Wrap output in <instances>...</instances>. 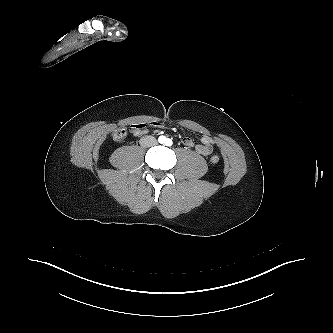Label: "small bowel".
Listing matches in <instances>:
<instances>
[{
	"mask_svg": "<svg viewBox=\"0 0 333 333\" xmlns=\"http://www.w3.org/2000/svg\"><path fill=\"white\" fill-rule=\"evenodd\" d=\"M153 126L155 127H161L162 124L160 122H153ZM131 132L134 136H142L144 135L147 130H146V125L143 123L140 124H133L131 126ZM182 143L189 148H194L197 153L207 156L210 155L213 151V146H212V140L208 136H203L200 140L199 144H195L193 140L189 137H184L182 139Z\"/></svg>",
	"mask_w": 333,
	"mask_h": 333,
	"instance_id": "c3829d8e",
	"label": "small bowel"
}]
</instances>
